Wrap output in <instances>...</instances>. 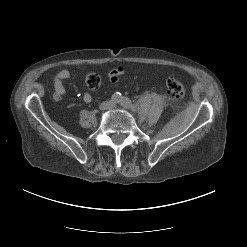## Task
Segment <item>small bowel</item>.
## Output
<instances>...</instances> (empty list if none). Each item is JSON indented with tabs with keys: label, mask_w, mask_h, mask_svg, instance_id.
Here are the masks:
<instances>
[{
	"label": "small bowel",
	"mask_w": 247,
	"mask_h": 247,
	"mask_svg": "<svg viewBox=\"0 0 247 247\" xmlns=\"http://www.w3.org/2000/svg\"><path fill=\"white\" fill-rule=\"evenodd\" d=\"M124 73V69L119 67L112 69L109 72V78L112 81H116L122 74ZM74 78L73 74L68 70L59 71L54 77V99L56 101H61L66 93L65 81L72 80ZM92 96L90 93L85 92L83 94V101L86 103L91 102Z\"/></svg>",
	"instance_id": "c3829d8e"
}]
</instances>
